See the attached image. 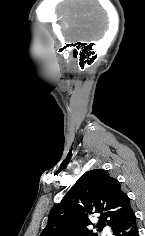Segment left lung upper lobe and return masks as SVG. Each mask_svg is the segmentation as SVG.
Segmentation results:
<instances>
[{
  "label": "left lung upper lobe",
  "mask_w": 145,
  "mask_h": 236,
  "mask_svg": "<svg viewBox=\"0 0 145 236\" xmlns=\"http://www.w3.org/2000/svg\"><path fill=\"white\" fill-rule=\"evenodd\" d=\"M132 211L130 199L119 181L102 169L84 173L48 216L40 236H98L88 229V216L99 215L98 231L105 222L113 229Z\"/></svg>",
  "instance_id": "1"
}]
</instances>
